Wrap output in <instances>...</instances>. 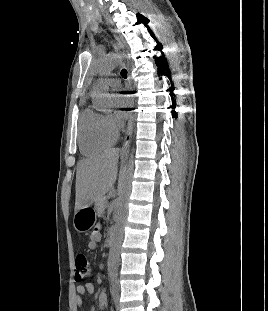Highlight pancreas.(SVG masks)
<instances>
[{
	"instance_id": "pancreas-1",
	"label": "pancreas",
	"mask_w": 268,
	"mask_h": 311,
	"mask_svg": "<svg viewBox=\"0 0 268 311\" xmlns=\"http://www.w3.org/2000/svg\"><path fill=\"white\" fill-rule=\"evenodd\" d=\"M106 205L107 199L105 197H101L95 201V210L98 216H101L104 213Z\"/></svg>"
}]
</instances>
